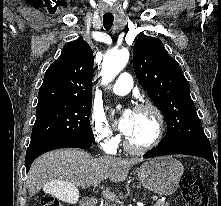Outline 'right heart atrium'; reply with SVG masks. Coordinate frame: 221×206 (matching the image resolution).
<instances>
[{
  "label": "right heart atrium",
  "mask_w": 221,
  "mask_h": 206,
  "mask_svg": "<svg viewBox=\"0 0 221 206\" xmlns=\"http://www.w3.org/2000/svg\"><path fill=\"white\" fill-rule=\"evenodd\" d=\"M91 128L98 145L107 153H113L119 143V137L109 125L105 114L98 109L91 113Z\"/></svg>",
  "instance_id": "obj_1"
}]
</instances>
